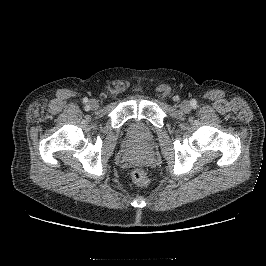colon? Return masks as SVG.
<instances>
[{
  "label": "colon",
  "mask_w": 266,
  "mask_h": 266,
  "mask_svg": "<svg viewBox=\"0 0 266 266\" xmlns=\"http://www.w3.org/2000/svg\"><path fill=\"white\" fill-rule=\"evenodd\" d=\"M131 178L135 184L145 187L149 183L148 174L143 168H135L131 172Z\"/></svg>",
  "instance_id": "colon-1"
}]
</instances>
